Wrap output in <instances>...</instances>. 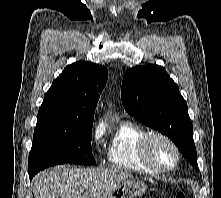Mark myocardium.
Returning a JSON list of instances; mask_svg holds the SVG:
<instances>
[{"label":"myocardium","instance_id":"obj_1","mask_svg":"<svg viewBox=\"0 0 221 198\" xmlns=\"http://www.w3.org/2000/svg\"><path fill=\"white\" fill-rule=\"evenodd\" d=\"M154 139L164 140L171 146L175 153V162L172 166L163 167L154 161L151 155V143ZM139 150L143 163L157 173H169L176 170L181 160V152L175 141L167 134L159 131L147 132L140 142Z\"/></svg>","mask_w":221,"mask_h":198}]
</instances>
